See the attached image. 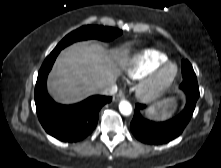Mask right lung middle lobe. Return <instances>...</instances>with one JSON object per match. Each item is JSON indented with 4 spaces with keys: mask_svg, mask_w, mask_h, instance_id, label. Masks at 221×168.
<instances>
[{
    "mask_svg": "<svg viewBox=\"0 0 221 168\" xmlns=\"http://www.w3.org/2000/svg\"><path fill=\"white\" fill-rule=\"evenodd\" d=\"M122 34L121 30L104 27V26H94L87 25L82 26L81 28L74 30L69 33L63 40L55 47L54 50H61L64 47L72 44L73 42L87 39H99L102 41H110L115 37Z\"/></svg>",
    "mask_w": 221,
    "mask_h": 168,
    "instance_id": "right-lung-middle-lobe-1",
    "label": "right lung middle lobe"
}]
</instances>
